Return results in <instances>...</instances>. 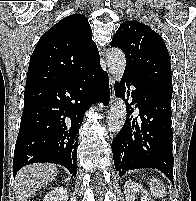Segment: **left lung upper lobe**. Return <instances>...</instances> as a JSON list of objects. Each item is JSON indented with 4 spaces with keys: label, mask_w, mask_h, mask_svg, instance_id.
I'll return each instance as SVG.
<instances>
[{
    "label": "left lung upper lobe",
    "mask_w": 196,
    "mask_h": 201,
    "mask_svg": "<svg viewBox=\"0 0 196 201\" xmlns=\"http://www.w3.org/2000/svg\"><path fill=\"white\" fill-rule=\"evenodd\" d=\"M112 47H119L126 57L125 74L143 84L172 94L169 53L163 39L149 26L125 21L114 34Z\"/></svg>",
    "instance_id": "5c2ea615"
}]
</instances>
